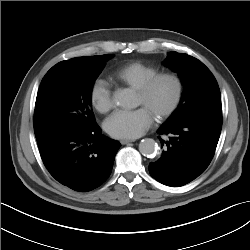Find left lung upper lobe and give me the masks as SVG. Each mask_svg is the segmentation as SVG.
<instances>
[{"label":"left lung upper lobe","instance_id":"obj_1","mask_svg":"<svg viewBox=\"0 0 250 250\" xmlns=\"http://www.w3.org/2000/svg\"><path fill=\"white\" fill-rule=\"evenodd\" d=\"M164 65L178 73L184 86L180 104L165 125H176L189 117L221 110L218 84L201 61L187 54L169 52Z\"/></svg>","mask_w":250,"mask_h":250}]
</instances>
